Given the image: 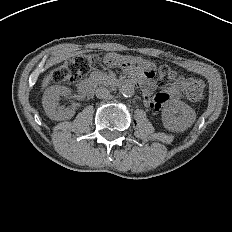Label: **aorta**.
I'll return each instance as SVG.
<instances>
[{
	"instance_id": "aorta-1",
	"label": "aorta",
	"mask_w": 232,
	"mask_h": 232,
	"mask_svg": "<svg viewBox=\"0 0 232 232\" xmlns=\"http://www.w3.org/2000/svg\"><path fill=\"white\" fill-rule=\"evenodd\" d=\"M119 92L122 96H124L126 98H128V97L130 98L134 95L135 88L131 84H125L120 88Z\"/></svg>"
}]
</instances>
